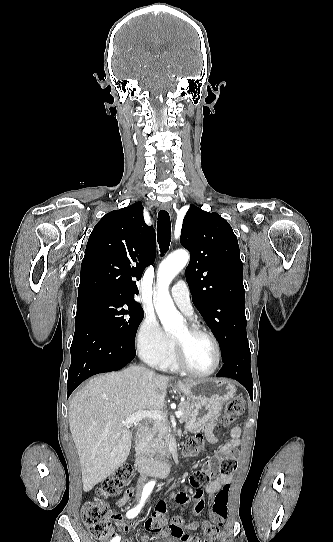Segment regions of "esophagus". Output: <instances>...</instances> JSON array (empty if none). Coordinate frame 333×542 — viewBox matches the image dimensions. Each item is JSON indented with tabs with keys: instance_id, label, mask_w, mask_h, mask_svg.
Instances as JSON below:
<instances>
[{
	"instance_id": "obj_1",
	"label": "esophagus",
	"mask_w": 333,
	"mask_h": 542,
	"mask_svg": "<svg viewBox=\"0 0 333 542\" xmlns=\"http://www.w3.org/2000/svg\"><path fill=\"white\" fill-rule=\"evenodd\" d=\"M162 208H163L164 210H166L167 212H169L170 214H172V206H171V204H170L169 202L164 203V204L162 205Z\"/></svg>"
}]
</instances>
